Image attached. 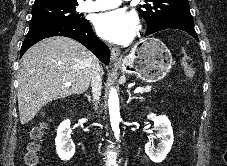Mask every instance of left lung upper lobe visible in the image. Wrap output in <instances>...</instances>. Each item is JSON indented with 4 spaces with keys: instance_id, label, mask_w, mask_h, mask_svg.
<instances>
[{
    "instance_id": "left-lung-upper-lobe-1",
    "label": "left lung upper lobe",
    "mask_w": 227,
    "mask_h": 166,
    "mask_svg": "<svg viewBox=\"0 0 227 166\" xmlns=\"http://www.w3.org/2000/svg\"><path fill=\"white\" fill-rule=\"evenodd\" d=\"M140 5V15L147 23V34L177 23L181 20H192L187 0H145Z\"/></svg>"
}]
</instances>
